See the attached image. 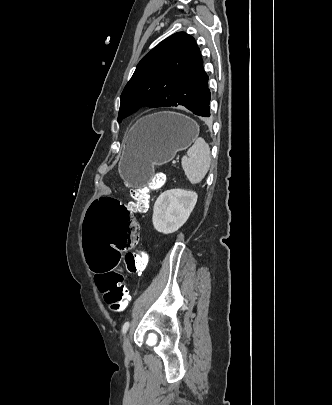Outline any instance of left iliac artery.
Segmentation results:
<instances>
[{"mask_svg":"<svg viewBox=\"0 0 332 405\" xmlns=\"http://www.w3.org/2000/svg\"><path fill=\"white\" fill-rule=\"evenodd\" d=\"M129 325H130L129 321H127V322H125L123 324V326H122V333L123 334H125L127 332L128 328H129Z\"/></svg>","mask_w":332,"mask_h":405,"instance_id":"44dca946","label":"left iliac artery"}]
</instances>
